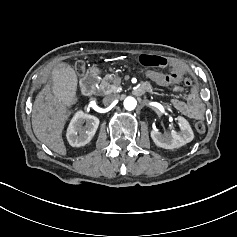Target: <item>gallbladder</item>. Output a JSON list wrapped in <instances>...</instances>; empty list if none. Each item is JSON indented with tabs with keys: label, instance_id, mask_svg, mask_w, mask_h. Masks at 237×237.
<instances>
[{
	"label": "gallbladder",
	"instance_id": "obj_1",
	"mask_svg": "<svg viewBox=\"0 0 237 237\" xmlns=\"http://www.w3.org/2000/svg\"><path fill=\"white\" fill-rule=\"evenodd\" d=\"M53 72L51 85L57 99L63 105L73 103L77 83L74 70L69 65H57Z\"/></svg>",
	"mask_w": 237,
	"mask_h": 237
}]
</instances>
